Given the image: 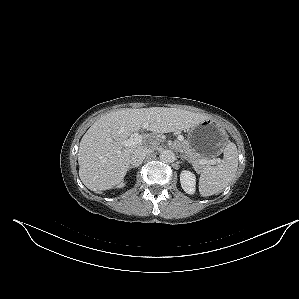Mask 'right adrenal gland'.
<instances>
[{"instance_id":"2a0ac1e0","label":"right adrenal gland","mask_w":299,"mask_h":299,"mask_svg":"<svg viewBox=\"0 0 299 299\" xmlns=\"http://www.w3.org/2000/svg\"><path fill=\"white\" fill-rule=\"evenodd\" d=\"M132 168H135V167H134V166H130V167H129V170L132 169Z\"/></svg>"}]
</instances>
